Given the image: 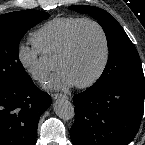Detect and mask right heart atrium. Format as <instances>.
Here are the masks:
<instances>
[{"label": "right heart atrium", "instance_id": "obj_1", "mask_svg": "<svg viewBox=\"0 0 145 145\" xmlns=\"http://www.w3.org/2000/svg\"><path fill=\"white\" fill-rule=\"evenodd\" d=\"M16 56L21 68L35 81L43 82L49 67L45 64L43 55L35 45L20 43L16 49Z\"/></svg>", "mask_w": 145, "mask_h": 145}]
</instances>
